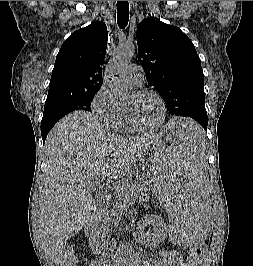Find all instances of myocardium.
<instances>
[{"instance_id":"obj_1","label":"myocardium","mask_w":253,"mask_h":266,"mask_svg":"<svg viewBox=\"0 0 253 266\" xmlns=\"http://www.w3.org/2000/svg\"><path fill=\"white\" fill-rule=\"evenodd\" d=\"M134 94L139 95V96L149 94V95H153L154 97H156L161 107V116H160L158 123L155 124L154 126L142 127L137 123L130 109L125 106L124 110H125L130 128L140 133H151V132L159 130L164 125L166 121V115H167L166 103L163 97L161 96V94L155 90L148 89V88L136 90L134 91Z\"/></svg>"}]
</instances>
